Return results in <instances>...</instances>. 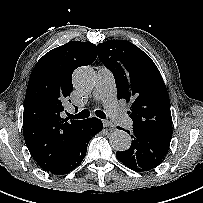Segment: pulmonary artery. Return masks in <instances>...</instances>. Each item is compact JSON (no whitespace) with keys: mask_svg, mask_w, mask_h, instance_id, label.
Masks as SVG:
<instances>
[{"mask_svg":"<svg viewBox=\"0 0 203 203\" xmlns=\"http://www.w3.org/2000/svg\"><path fill=\"white\" fill-rule=\"evenodd\" d=\"M116 87L113 73L106 67L98 69V80L94 90V98L101 101L109 116L120 126L131 128L132 119L119 107L116 100Z\"/></svg>","mask_w":203,"mask_h":203,"instance_id":"e3ab8cb5","label":"pulmonary artery"}]
</instances>
